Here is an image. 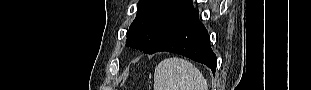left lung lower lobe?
Here are the masks:
<instances>
[{
	"mask_svg": "<svg viewBox=\"0 0 311 90\" xmlns=\"http://www.w3.org/2000/svg\"><path fill=\"white\" fill-rule=\"evenodd\" d=\"M161 51L186 56L207 65L215 73L217 58L210 47L208 32L199 21L198 10L176 23L149 54Z\"/></svg>",
	"mask_w": 311,
	"mask_h": 90,
	"instance_id": "0a47b994",
	"label": "left lung lower lobe"
}]
</instances>
